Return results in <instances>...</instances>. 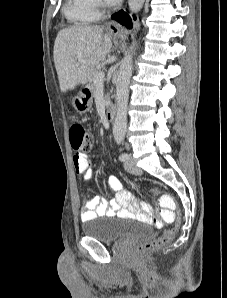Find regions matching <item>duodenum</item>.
Wrapping results in <instances>:
<instances>
[{
	"label": "duodenum",
	"mask_w": 227,
	"mask_h": 298,
	"mask_svg": "<svg viewBox=\"0 0 227 298\" xmlns=\"http://www.w3.org/2000/svg\"><path fill=\"white\" fill-rule=\"evenodd\" d=\"M87 92H89V90H87ZM116 114H117L116 106L114 104L109 105L106 113L108 121L112 122L115 119Z\"/></svg>",
	"instance_id": "obj_1"
}]
</instances>
